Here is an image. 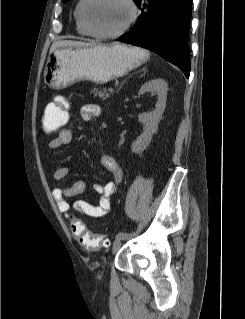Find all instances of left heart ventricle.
<instances>
[{
	"label": "left heart ventricle",
	"instance_id": "left-heart-ventricle-1",
	"mask_svg": "<svg viewBox=\"0 0 245 319\" xmlns=\"http://www.w3.org/2000/svg\"><path fill=\"white\" fill-rule=\"evenodd\" d=\"M87 15L96 31L111 33L128 21L130 10L124 0H92Z\"/></svg>",
	"mask_w": 245,
	"mask_h": 319
}]
</instances>
